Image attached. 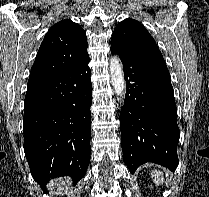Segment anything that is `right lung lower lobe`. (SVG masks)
<instances>
[{"label":"right lung lower lobe","instance_id":"obj_1","mask_svg":"<svg viewBox=\"0 0 209 197\" xmlns=\"http://www.w3.org/2000/svg\"><path fill=\"white\" fill-rule=\"evenodd\" d=\"M88 63L89 56L58 76L27 87L24 152L42 187L59 176H70L76 183L88 168L92 101Z\"/></svg>","mask_w":209,"mask_h":197}]
</instances>
